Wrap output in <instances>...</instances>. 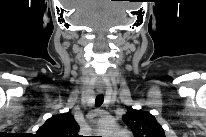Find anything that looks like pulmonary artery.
Masks as SVG:
<instances>
[{"label":"pulmonary artery","mask_w":206,"mask_h":137,"mask_svg":"<svg viewBox=\"0 0 206 137\" xmlns=\"http://www.w3.org/2000/svg\"><path fill=\"white\" fill-rule=\"evenodd\" d=\"M112 137H129L128 133L124 130L115 131Z\"/></svg>","instance_id":"pulmonary-artery-1"}]
</instances>
